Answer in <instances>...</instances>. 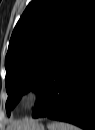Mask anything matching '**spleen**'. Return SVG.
<instances>
[{
	"mask_svg": "<svg viewBox=\"0 0 95 130\" xmlns=\"http://www.w3.org/2000/svg\"><path fill=\"white\" fill-rule=\"evenodd\" d=\"M47 127L48 130H80L77 126L60 121H52Z\"/></svg>",
	"mask_w": 95,
	"mask_h": 130,
	"instance_id": "3e777b00",
	"label": "spleen"
}]
</instances>
